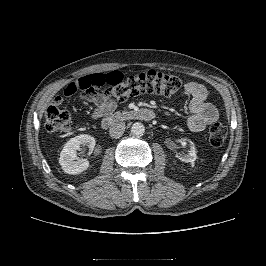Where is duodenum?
Segmentation results:
<instances>
[{
	"label": "duodenum",
	"mask_w": 266,
	"mask_h": 266,
	"mask_svg": "<svg viewBox=\"0 0 266 266\" xmlns=\"http://www.w3.org/2000/svg\"><path fill=\"white\" fill-rule=\"evenodd\" d=\"M155 118V113L147 108L138 109L134 111H120L114 114L107 115L101 122L103 129H108L120 122L132 119H138L143 121H150Z\"/></svg>",
	"instance_id": "obj_1"
}]
</instances>
